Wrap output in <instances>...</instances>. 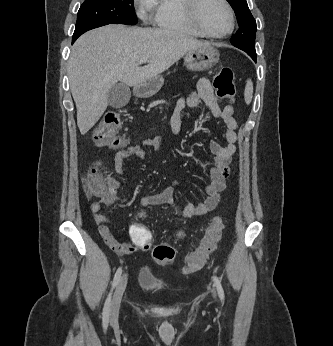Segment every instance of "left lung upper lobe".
<instances>
[{
    "mask_svg": "<svg viewBox=\"0 0 333 346\" xmlns=\"http://www.w3.org/2000/svg\"><path fill=\"white\" fill-rule=\"evenodd\" d=\"M235 11L239 29L231 39V44L251 56L256 57L255 34L256 21L252 16L246 0H227Z\"/></svg>",
    "mask_w": 333,
    "mask_h": 346,
    "instance_id": "obj_1",
    "label": "left lung upper lobe"
}]
</instances>
